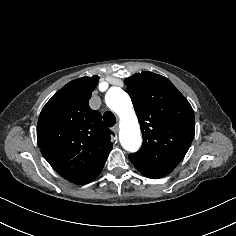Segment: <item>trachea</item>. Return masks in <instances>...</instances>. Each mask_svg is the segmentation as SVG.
Instances as JSON below:
<instances>
[{"label": "trachea", "mask_w": 236, "mask_h": 236, "mask_svg": "<svg viewBox=\"0 0 236 236\" xmlns=\"http://www.w3.org/2000/svg\"><path fill=\"white\" fill-rule=\"evenodd\" d=\"M103 120L106 126L112 127L116 123V117L110 111H107L103 114Z\"/></svg>", "instance_id": "3493384b"}]
</instances>
